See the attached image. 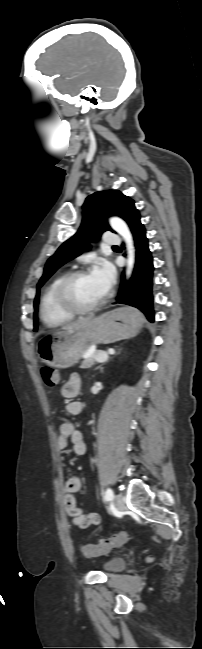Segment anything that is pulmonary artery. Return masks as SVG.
<instances>
[{
	"label": "pulmonary artery",
	"mask_w": 202,
	"mask_h": 649,
	"mask_svg": "<svg viewBox=\"0 0 202 649\" xmlns=\"http://www.w3.org/2000/svg\"><path fill=\"white\" fill-rule=\"evenodd\" d=\"M120 242H121V239H120V237L118 235L107 233L104 236V243L107 246H111V247L117 246V245L120 244Z\"/></svg>",
	"instance_id": "1"
}]
</instances>
